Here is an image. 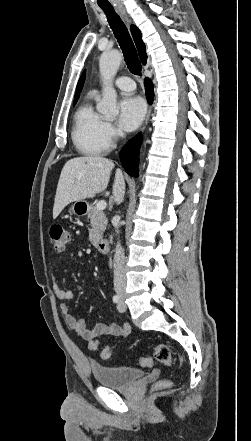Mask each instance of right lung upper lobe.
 Returning <instances> with one entry per match:
<instances>
[{"label":"right lung upper lobe","mask_w":251,"mask_h":441,"mask_svg":"<svg viewBox=\"0 0 251 441\" xmlns=\"http://www.w3.org/2000/svg\"><path fill=\"white\" fill-rule=\"evenodd\" d=\"M131 33H132L133 39L135 41L136 47L138 49L140 59H141L142 63L145 65L147 62V55H146L145 45L142 41L141 32L136 26L132 25L131 26ZM84 79H85V71L83 72V74L81 75V77L78 81L74 101H77L79 98L80 92L83 87Z\"/></svg>","instance_id":"right-lung-upper-lobe-1"}]
</instances>
